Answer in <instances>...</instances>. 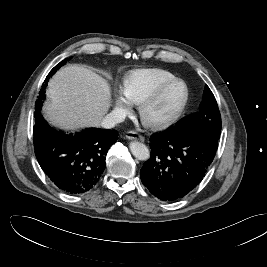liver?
I'll return each mask as SVG.
<instances>
[{
	"instance_id": "liver-1",
	"label": "liver",
	"mask_w": 267,
	"mask_h": 267,
	"mask_svg": "<svg viewBox=\"0 0 267 267\" xmlns=\"http://www.w3.org/2000/svg\"><path fill=\"white\" fill-rule=\"evenodd\" d=\"M44 113L51 124L65 130L98 127L110 107L105 79L79 65L61 68L48 83Z\"/></svg>"
}]
</instances>
